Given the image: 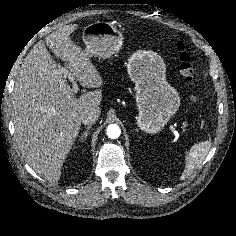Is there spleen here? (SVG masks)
<instances>
[{
	"label": "spleen",
	"instance_id": "1",
	"mask_svg": "<svg viewBox=\"0 0 236 236\" xmlns=\"http://www.w3.org/2000/svg\"><path fill=\"white\" fill-rule=\"evenodd\" d=\"M210 148V141L201 142L192 146L189 155L186 158L185 169L180 177L181 180L188 178L193 171L202 164L208 155Z\"/></svg>",
	"mask_w": 236,
	"mask_h": 236
}]
</instances>
